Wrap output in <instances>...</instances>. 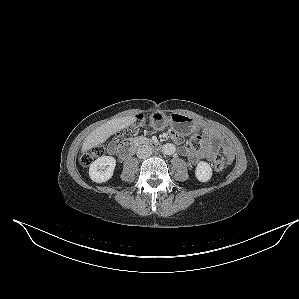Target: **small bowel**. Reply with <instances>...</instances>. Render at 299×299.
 Instances as JSON below:
<instances>
[{
    "instance_id": "1",
    "label": "small bowel",
    "mask_w": 299,
    "mask_h": 299,
    "mask_svg": "<svg viewBox=\"0 0 299 299\" xmlns=\"http://www.w3.org/2000/svg\"><path fill=\"white\" fill-rule=\"evenodd\" d=\"M171 138L177 144L182 143V137L172 131ZM202 147L194 149L192 147L180 146V154L186 156L192 164H197L201 160L213 161L218 149L221 147L228 162L233 160V150L226 140L222 138L220 133L214 129L202 130Z\"/></svg>"
}]
</instances>
